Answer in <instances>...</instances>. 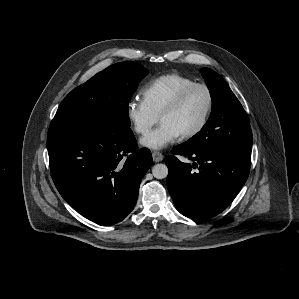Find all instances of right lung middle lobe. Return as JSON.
<instances>
[{
    "label": "right lung middle lobe",
    "instance_id": "dd1d6c3e",
    "mask_svg": "<svg viewBox=\"0 0 299 299\" xmlns=\"http://www.w3.org/2000/svg\"><path fill=\"white\" fill-rule=\"evenodd\" d=\"M148 71L135 62H120L71 91L51 121L52 129L101 125L130 128L128 103Z\"/></svg>",
    "mask_w": 299,
    "mask_h": 299
}]
</instances>
